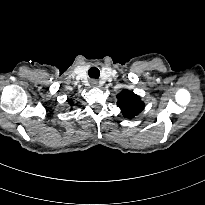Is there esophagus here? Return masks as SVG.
<instances>
[{
    "instance_id": "1",
    "label": "esophagus",
    "mask_w": 205,
    "mask_h": 205,
    "mask_svg": "<svg viewBox=\"0 0 205 205\" xmlns=\"http://www.w3.org/2000/svg\"><path fill=\"white\" fill-rule=\"evenodd\" d=\"M92 86L95 87V88L98 87V82L97 81H93L92 82Z\"/></svg>"
}]
</instances>
